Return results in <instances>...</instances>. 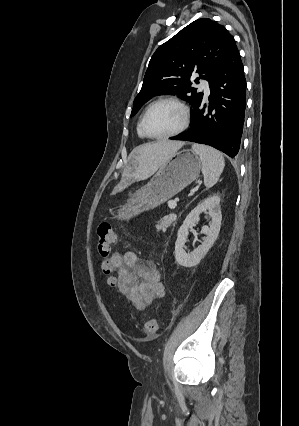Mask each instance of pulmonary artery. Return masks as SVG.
Segmentation results:
<instances>
[{"instance_id":"1","label":"pulmonary artery","mask_w":299,"mask_h":426,"mask_svg":"<svg viewBox=\"0 0 299 426\" xmlns=\"http://www.w3.org/2000/svg\"><path fill=\"white\" fill-rule=\"evenodd\" d=\"M200 87L204 91V95L208 97L210 95L209 83L207 81H202Z\"/></svg>"}]
</instances>
